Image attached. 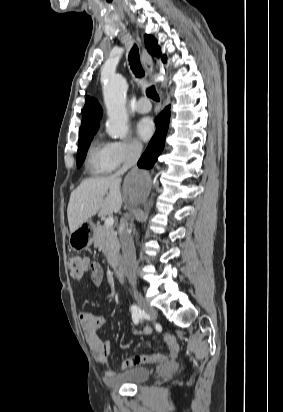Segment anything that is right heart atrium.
I'll return each instance as SVG.
<instances>
[{"mask_svg":"<svg viewBox=\"0 0 283 412\" xmlns=\"http://www.w3.org/2000/svg\"><path fill=\"white\" fill-rule=\"evenodd\" d=\"M141 153V143L133 138L108 143V157L115 168L136 160Z\"/></svg>","mask_w":283,"mask_h":412,"instance_id":"1","label":"right heart atrium"}]
</instances>
